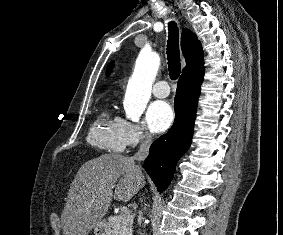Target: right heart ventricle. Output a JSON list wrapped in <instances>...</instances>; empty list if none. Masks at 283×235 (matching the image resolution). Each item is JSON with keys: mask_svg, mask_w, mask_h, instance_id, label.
I'll return each instance as SVG.
<instances>
[{"mask_svg": "<svg viewBox=\"0 0 283 235\" xmlns=\"http://www.w3.org/2000/svg\"><path fill=\"white\" fill-rule=\"evenodd\" d=\"M88 142L105 152L121 153L126 147L122 119L111 107L103 110L89 129Z\"/></svg>", "mask_w": 283, "mask_h": 235, "instance_id": "right-heart-ventricle-1", "label": "right heart ventricle"}]
</instances>
